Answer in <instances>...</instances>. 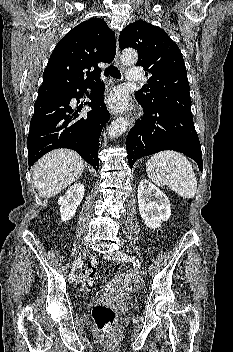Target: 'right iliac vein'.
<instances>
[{
	"mask_svg": "<svg viewBox=\"0 0 233 352\" xmlns=\"http://www.w3.org/2000/svg\"><path fill=\"white\" fill-rule=\"evenodd\" d=\"M88 255H89V249H88V248H84V249H82V250L80 251V253H79V258H80V259H84V258H86ZM75 282H76V283H79V282H80V277H79V276H76Z\"/></svg>",
	"mask_w": 233,
	"mask_h": 352,
	"instance_id": "obj_1",
	"label": "right iliac vein"
}]
</instances>
